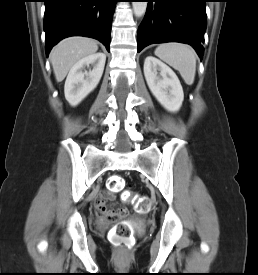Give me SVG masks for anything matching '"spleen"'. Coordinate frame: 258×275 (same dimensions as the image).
Wrapping results in <instances>:
<instances>
[{"mask_svg": "<svg viewBox=\"0 0 258 275\" xmlns=\"http://www.w3.org/2000/svg\"><path fill=\"white\" fill-rule=\"evenodd\" d=\"M155 55L178 70L187 85L194 83L196 74V52L194 49L182 43L160 44Z\"/></svg>", "mask_w": 258, "mask_h": 275, "instance_id": "obj_1", "label": "spleen"}]
</instances>
